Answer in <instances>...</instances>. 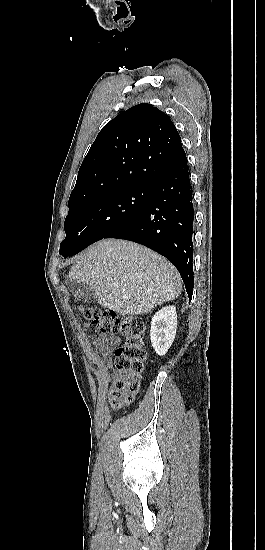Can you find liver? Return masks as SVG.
Listing matches in <instances>:
<instances>
[{
  "mask_svg": "<svg viewBox=\"0 0 265 550\" xmlns=\"http://www.w3.org/2000/svg\"><path fill=\"white\" fill-rule=\"evenodd\" d=\"M69 280L90 285L98 304L121 315L148 313L182 290L181 276L167 259L118 239L98 241L81 252Z\"/></svg>",
  "mask_w": 265,
  "mask_h": 550,
  "instance_id": "1",
  "label": "liver"
}]
</instances>
